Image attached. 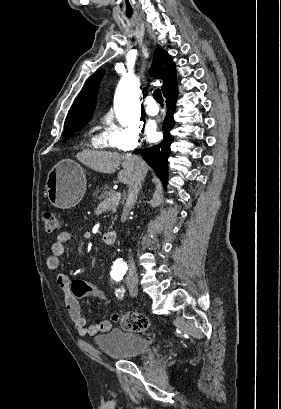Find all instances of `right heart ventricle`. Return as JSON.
Masks as SVG:
<instances>
[{"label":"right heart ventricle","mask_w":281,"mask_h":409,"mask_svg":"<svg viewBox=\"0 0 281 409\" xmlns=\"http://www.w3.org/2000/svg\"><path fill=\"white\" fill-rule=\"evenodd\" d=\"M93 147L100 151H104L107 148V145L103 137V133H99L94 137Z\"/></svg>","instance_id":"1"}]
</instances>
